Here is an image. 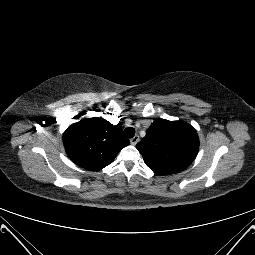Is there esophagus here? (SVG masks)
<instances>
[{
  "label": "esophagus",
  "mask_w": 255,
  "mask_h": 255,
  "mask_svg": "<svg viewBox=\"0 0 255 255\" xmlns=\"http://www.w3.org/2000/svg\"><path fill=\"white\" fill-rule=\"evenodd\" d=\"M139 141V136L138 135H135L133 138L130 139V143L132 145H136Z\"/></svg>",
  "instance_id": "esophagus-1"
}]
</instances>
